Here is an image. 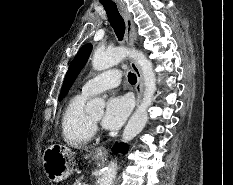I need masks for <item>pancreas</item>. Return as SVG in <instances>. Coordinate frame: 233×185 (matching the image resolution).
Instances as JSON below:
<instances>
[{"instance_id": "cf45deb5", "label": "pancreas", "mask_w": 233, "mask_h": 185, "mask_svg": "<svg viewBox=\"0 0 233 185\" xmlns=\"http://www.w3.org/2000/svg\"><path fill=\"white\" fill-rule=\"evenodd\" d=\"M73 185H83V184H81V180L80 179H77L76 182Z\"/></svg>"}]
</instances>
